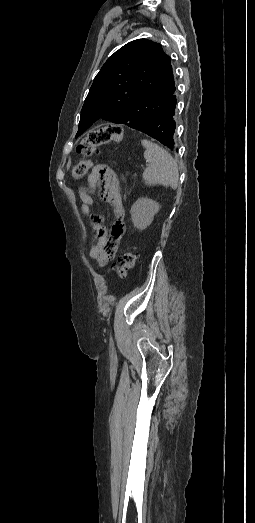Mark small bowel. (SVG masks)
<instances>
[{"instance_id": "c3829d8e", "label": "small bowel", "mask_w": 255, "mask_h": 523, "mask_svg": "<svg viewBox=\"0 0 255 523\" xmlns=\"http://www.w3.org/2000/svg\"><path fill=\"white\" fill-rule=\"evenodd\" d=\"M96 187H99L101 198L112 206L115 214L109 234L103 225V216L92 212L94 199L91 191ZM79 196L81 211L88 216L93 229V245L89 256L99 266H105L115 258L125 231V209L116 174L106 164L96 165L87 177L86 186L80 188Z\"/></svg>"}]
</instances>
